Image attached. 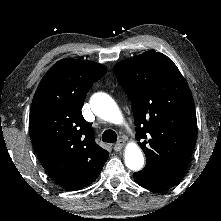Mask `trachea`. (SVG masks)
I'll return each instance as SVG.
<instances>
[{
    "label": "trachea",
    "mask_w": 221,
    "mask_h": 221,
    "mask_svg": "<svg viewBox=\"0 0 221 221\" xmlns=\"http://www.w3.org/2000/svg\"><path fill=\"white\" fill-rule=\"evenodd\" d=\"M102 140L107 143H114L117 141V134L113 130H105L102 134Z\"/></svg>",
    "instance_id": "3493384b"
}]
</instances>
